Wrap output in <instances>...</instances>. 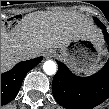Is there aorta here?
<instances>
[{
  "label": "aorta",
  "mask_w": 109,
  "mask_h": 109,
  "mask_svg": "<svg viewBox=\"0 0 109 109\" xmlns=\"http://www.w3.org/2000/svg\"><path fill=\"white\" fill-rule=\"evenodd\" d=\"M43 70L48 75H53L57 71L56 63L52 60H48L43 64Z\"/></svg>",
  "instance_id": "1"
}]
</instances>
